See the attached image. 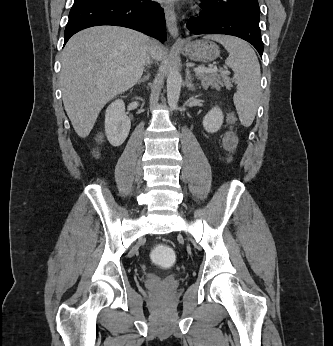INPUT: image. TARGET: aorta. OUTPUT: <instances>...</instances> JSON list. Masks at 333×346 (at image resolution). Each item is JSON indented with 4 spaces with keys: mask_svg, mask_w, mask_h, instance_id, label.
I'll return each instance as SVG.
<instances>
[{
    "mask_svg": "<svg viewBox=\"0 0 333 346\" xmlns=\"http://www.w3.org/2000/svg\"><path fill=\"white\" fill-rule=\"evenodd\" d=\"M181 75L176 68H171L167 77V100L171 110L177 109L181 91Z\"/></svg>",
    "mask_w": 333,
    "mask_h": 346,
    "instance_id": "obj_1",
    "label": "aorta"
}]
</instances>
